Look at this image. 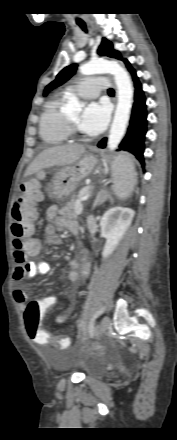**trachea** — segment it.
Masks as SVG:
<instances>
[{"mask_svg": "<svg viewBox=\"0 0 177 440\" xmlns=\"http://www.w3.org/2000/svg\"><path fill=\"white\" fill-rule=\"evenodd\" d=\"M78 25L80 26V28L83 30V31H87V28H86V25H85V23H78ZM108 93L109 94H114V90L112 89V88H110V89H108Z\"/></svg>", "mask_w": 177, "mask_h": 440, "instance_id": "obj_1", "label": "trachea"}]
</instances>
